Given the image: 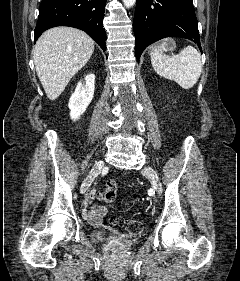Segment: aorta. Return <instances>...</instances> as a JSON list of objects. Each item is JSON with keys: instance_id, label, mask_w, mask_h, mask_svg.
Here are the masks:
<instances>
[{"instance_id": "aorta-1", "label": "aorta", "mask_w": 240, "mask_h": 281, "mask_svg": "<svg viewBox=\"0 0 240 281\" xmlns=\"http://www.w3.org/2000/svg\"><path fill=\"white\" fill-rule=\"evenodd\" d=\"M136 0H123L125 7L131 8L134 6Z\"/></svg>"}]
</instances>
